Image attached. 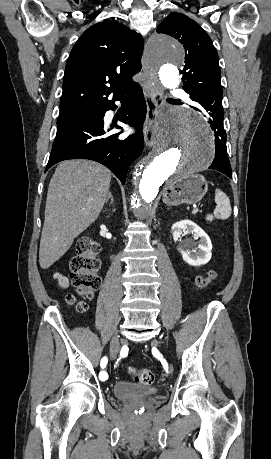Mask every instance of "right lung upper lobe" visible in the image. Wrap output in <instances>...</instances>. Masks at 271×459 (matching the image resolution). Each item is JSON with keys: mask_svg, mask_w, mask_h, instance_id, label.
Masks as SVG:
<instances>
[{"mask_svg": "<svg viewBox=\"0 0 271 459\" xmlns=\"http://www.w3.org/2000/svg\"><path fill=\"white\" fill-rule=\"evenodd\" d=\"M144 41L122 23L106 20L88 28L66 63L60 112L101 105L127 94L138 84Z\"/></svg>", "mask_w": 271, "mask_h": 459, "instance_id": "obj_1", "label": "right lung upper lobe"}]
</instances>
